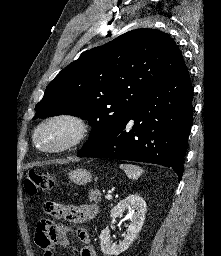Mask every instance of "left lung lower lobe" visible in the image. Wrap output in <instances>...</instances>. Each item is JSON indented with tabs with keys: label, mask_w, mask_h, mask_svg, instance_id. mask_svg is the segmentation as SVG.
<instances>
[{
	"label": "left lung lower lobe",
	"mask_w": 221,
	"mask_h": 256,
	"mask_svg": "<svg viewBox=\"0 0 221 256\" xmlns=\"http://www.w3.org/2000/svg\"><path fill=\"white\" fill-rule=\"evenodd\" d=\"M187 67L160 83L115 127L83 147L78 157L139 161L183 174L193 106ZM133 120L132 128L128 124Z\"/></svg>",
	"instance_id": "0a47b994"
}]
</instances>
